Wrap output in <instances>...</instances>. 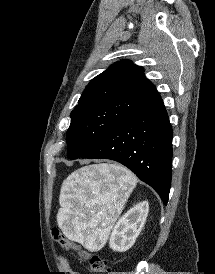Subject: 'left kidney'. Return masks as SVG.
Here are the masks:
<instances>
[{"instance_id":"5707ae66","label":"left kidney","mask_w":215,"mask_h":274,"mask_svg":"<svg viewBox=\"0 0 215 274\" xmlns=\"http://www.w3.org/2000/svg\"><path fill=\"white\" fill-rule=\"evenodd\" d=\"M149 211L147 201L127 211L116 223L109 238V247L117 252L129 250L142 231Z\"/></svg>"}]
</instances>
